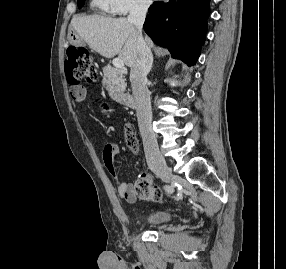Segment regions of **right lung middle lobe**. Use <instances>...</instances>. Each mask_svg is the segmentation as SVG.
I'll return each instance as SVG.
<instances>
[{
    "label": "right lung middle lobe",
    "instance_id": "right-lung-middle-lobe-1",
    "mask_svg": "<svg viewBox=\"0 0 286 269\" xmlns=\"http://www.w3.org/2000/svg\"><path fill=\"white\" fill-rule=\"evenodd\" d=\"M85 0H78V7L81 8Z\"/></svg>",
    "mask_w": 286,
    "mask_h": 269
}]
</instances>
